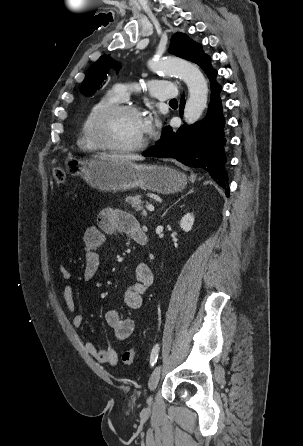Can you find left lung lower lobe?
<instances>
[{
    "instance_id": "left-lung-lower-lobe-1",
    "label": "left lung lower lobe",
    "mask_w": 303,
    "mask_h": 446,
    "mask_svg": "<svg viewBox=\"0 0 303 446\" xmlns=\"http://www.w3.org/2000/svg\"><path fill=\"white\" fill-rule=\"evenodd\" d=\"M201 68L207 74L211 83V100L205 119L194 125L181 126L176 132L166 127L161 139L143 153L147 157H172L181 163L196 168L205 169L209 175L225 189L229 197L228 177L225 171L226 157L224 154L225 118L222 114V104L219 94L222 87L216 83L217 71L211 67L210 57ZM185 105L184 96L181 98L180 115Z\"/></svg>"
}]
</instances>
